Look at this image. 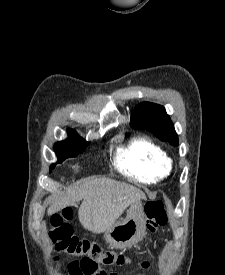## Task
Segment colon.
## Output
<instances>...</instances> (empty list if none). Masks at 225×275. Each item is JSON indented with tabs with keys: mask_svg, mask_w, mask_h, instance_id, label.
I'll return each mask as SVG.
<instances>
[{
	"mask_svg": "<svg viewBox=\"0 0 225 275\" xmlns=\"http://www.w3.org/2000/svg\"><path fill=\"white\" fill-rule=\"evenodd\" d=\"M146 226L149 232L154 233L168 222V215L161 200L150 201L145 207ZM71 212L64 210L51 220L49 237L52 243L60 250L81 259L70 264L73 275H98L99 264L105 266H124L130 262L128 256L102 248L99 244L73 234L68 220ZM110 275H117L111 273Z\"/></svg>",
	"mask_w": 225,
	"mask_h": 275,
	"instance_id": "5ec220e1",
	"label": "colon"
}]
</instances>
